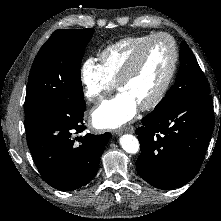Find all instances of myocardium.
<instances>
[{"label": "myocardium", "instance_id": "f54148a6", "mask_svg": "<svg viewBox=\"0 0 221 221\" xmlns=\"http://www.w3.org/2000/svg\"><path fill=\"white\" fill-rule=\"evenodd\" d=\"M159 38H166L170 41L171 46H172V62H171L169 72H168L163 84L159 88V90L148 102H146L145 104H143L139 107L140 110H142V111H147V110H151V109L155 108L162 101V99L165 97V95L167 94V92L171 86V83L174 79V76H175V73L177 70L178 61H179L178 46H177V43H176L174 37L168 33H165V32H159V33H155V34L151 35L148 39H146L135 50V52L129 58V60L127 61L123 71L121 72V74L116 82L117 89L120 90L122 85L125 84L127 81H129L135 75L137 70L139 69V67L141 65L143 53L146 50V48L153 41H155Z\"/></svg>", "mask_w": 221, "mask_h": 221}]
</instances>
